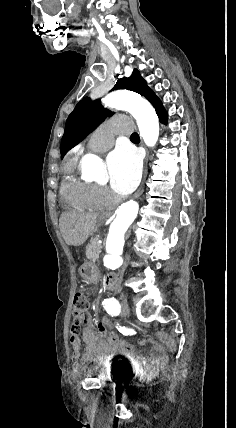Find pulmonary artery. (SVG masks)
Masks as SVG:
<instances>
[{
	"label": "pulmonary artery",
	"instance_id": "e3ab8cb5",
	"mask_svg": "<svg viewBox=\"0 0 236 428\" xmlns=\"http://www.w3.org/2000/svg\"><path fill=\"white\" fill-rule=\"evenodd\" d=\"M113 145V142H111L110 144L107 142H103V143H97L95 141H92L88 146L87 149L88 151L91 152H103L107 149H109L111 146Z\"/></svg>",
	"mask_w": 236,
	"mask_h": 428
}]
</instances>
